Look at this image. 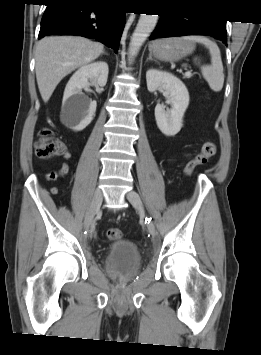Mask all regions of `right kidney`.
Returning <instances> with one entry per match:
<instances>
[{"label": "right kidney", "mask_w": 261, "mask_h": 355, "mask_svg": "<svg viewBox=\"0 0 261 355\" xmlns=\"http://www.w3.org/2000/svg\"><path fill=\"white\" fill-rule=\"evenodd\" d=\"M109 68L106 62L98 61L81 66L68 81L62 104L61 120L74 131H82L93 120L96 101H92L82 93L90 82L101 87L107 83Z\"/></svg>", "instance_id": "1"}]
</instances>
